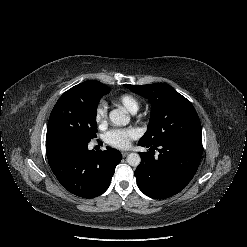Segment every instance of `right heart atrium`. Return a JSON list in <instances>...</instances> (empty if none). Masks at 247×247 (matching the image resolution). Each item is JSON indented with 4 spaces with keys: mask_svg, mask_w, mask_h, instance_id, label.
Here are the masks:
<instances>
[{
    "mask_svg": "<svg viewBox=\"0 0 247 247\" xmlns=\"http://www.w3.org/2000/svg\"><path fill=\"white\" fill-rule=\"evenodd\" d=\"M94 117L97 123L103 124L107 119V105L105 102H99L94 109Z\"/></svg>",
    "mask_w": 247,
    "mask_h": 247,
    "instance_id": "right-heart-atrium-1",
    "label": "right heart atrium"
}]
</instances>
